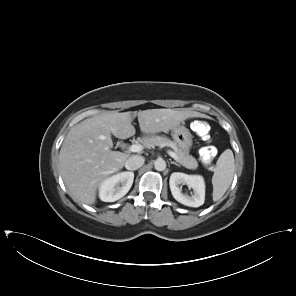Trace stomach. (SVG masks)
I'll return each mask as SVG.
<instances>
[{
	"instance_id": "obj_1",
	"label": "stomach",
	"mask_w": 296,
	"mask_h": 296,
	"mask_svg": "<svg viewBox=\"0 0 296 296\" xmlns=\"http://www.w3.org/2000/svg\"><path fill=\"white\" fill-rule=\"evenodd\" d=\"M171 135L174 142L180 149L184 151L190 150L192 146V135L186 127L179 125L178 127L172 129Z\"/></svg>"
}]
</instances>
